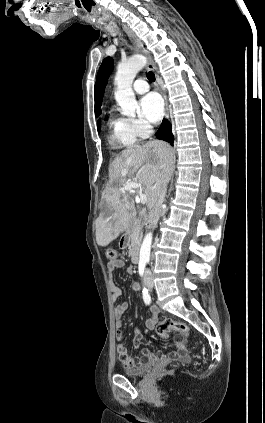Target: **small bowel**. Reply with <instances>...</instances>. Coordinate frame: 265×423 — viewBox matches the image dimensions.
Wrapping results in <instances>:
<instances>
[{
  "label": "small bowel",
  "mask_w": 265,
  "mask_h": 423,
  "mask_svg": "<svg viewBox=\"0 0 265 423\" xmlns=\"http://www.w3.org/2000/svg\"><path fill=\"white\" fill-rule=\"evenodd\" d=\"M124 266H125V262L121 259H117L116 261H113V262H108L107 264V269L109 272V288L111 290V300L113 302H115L121 296V290L117 287V285L114 282L113 271L119 268H123ZM127 272L133 273L134 266L131 264L128 265ZM132 288L134 291H137V292L140 291V286L137 283H134L132 285ZM127 309H128V303L126 302L120 303L114 308L115 328L117 330L116 336L119 341V344L117 346V352L124 366L134 368V367L141 366L144 363V361L141 358L130 356L126 346L121 342L122 334L120 330L123 327L122 316L127 311ZM159 317H160V312L158 308L155 306H151L150 317L146 321V327L148 329H154L156 325L158 324ZM142 340H143V336H142L141 330L136 329V335L133 341L134 346L139 347L141 345ZM141 352H142L143 358L149 362L156 361L160 358H181L184 353V342L181 340H177L175 342V350L167 356L156 355L147 348H143Z\"/></svg>",
  "instance_id": "obj_1"
}]
</instances>
